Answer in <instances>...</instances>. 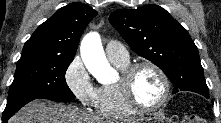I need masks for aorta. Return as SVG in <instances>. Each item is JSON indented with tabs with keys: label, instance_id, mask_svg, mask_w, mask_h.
<instances>
[{
	"label": "aorta",
	"instance_id": "aorta-1",
	"mask_svg": "<svg viewBox=\"0 0 221 123\" xmlns=\"http://www.w3.org/2000/svg\"><path fill=\"white\" fill-rule=\"evenodd\" d=\"M81 58L87 70L100 82L107 81L112 68L103 51L100 35L97 32L86 34L80 46Z\"/></svg>",
	"mask_w": 221,
	"mask_h": 123
}]
</instances>
